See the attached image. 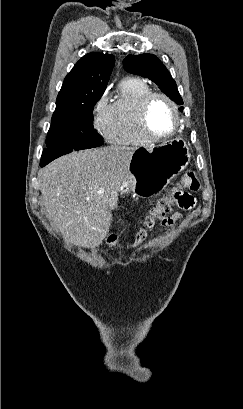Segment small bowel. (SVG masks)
Returning a JSON list of instances; mask_svg holds the SVG:
<instances>
[{
  "mask_svg": "<svg viewBox=\"0 0 243 409\" xmlns=\"http://www.w3.org/2000/svg\"><path fill=\"white\" fill-rule=\"evenodd\" d=\"M189 199L191 201V204L187 207H183L184 209H189L194 205V198L191 195H188ZM182 217L181 213L179 212H175L173 213L170 217L166 218L162 224L168 228H172L174 223L177 222L178 220H180Z\"/></svg>",
  "mask_w": 243,
  "mask_h": 409,
  "instance_id": "c3829d8e",
  "label": "small bowel"
}]
</instances>
